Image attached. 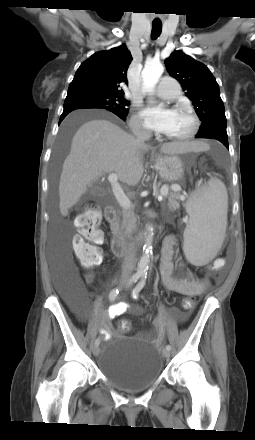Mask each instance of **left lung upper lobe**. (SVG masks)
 <instances>
[{
	"label": "left lung upper lobe",
	"instance_id": "obj_1",
	"mask_svg": "<svg viewBox=\"0 0 255 440\" xmlns=\"http://www.w3.org/2000/svg\"><path fill=\"white\" fill-rule=\"evenodd\" d=\"M165 64L169 74L180 82L186 96L193 102L202 121L196 136L228 138L219 85L207 66L180 50L171 53Z\"/></svg>",
	"mask_w": 255,
	"mask_h": 440
}]
</instances>
